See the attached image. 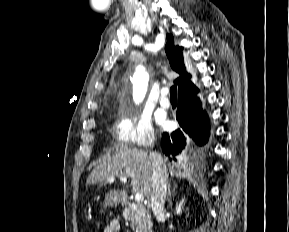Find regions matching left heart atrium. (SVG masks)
<instances>
[{
    "label": "left heart atrium",
    "instance_id": "left-heart-atrium-1",
    "mask_svg": "<svg viewBox=\"0 0 289 232\" xmlns=\"http://www.w3.org/2000/svg\"><path fill=\"white\" fill-rule=\"evenodd\" d=\"M159 121H160L161 124H165L166 123V121L164 119H160Z\"/></svg>",
    "mask_w": 289,
    "mask_h": 232
}]
</instances>
